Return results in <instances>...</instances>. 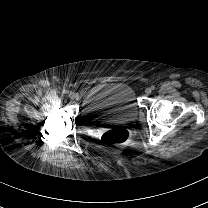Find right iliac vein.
<instances>
[{"mask_svg": "<svg viewBox=\"0 0 208 208\" xmlns=\"http://www.w3.org/2000/svg\"><path fill=\"white\" fill-rule=\"evenodd\" d=\"M69 97H70V99H75V97H76V95H75V93L74 92H70L69 93Z\"/></svg>", "mask_w": 208, "mask_h": 208, "instance_id": "63e3f726", "label": "right iliac vein"}]
</instances>
